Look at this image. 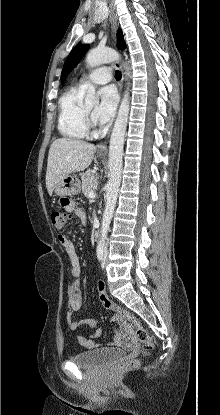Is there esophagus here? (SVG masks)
Masks as SVG:
<instances>
[{
    "label": "esophagus",
    "mask_w": 220,
    "mask_h": 415,
    "mask_svg": "<svg viewBox=\"0 0 220 415\" xmlns=\"http://www.w3.org/2000/svg\"><path fill=\"white\" fill-rule=\"evenodd\" d=\"M117 28H118L117 18L115 16L114 11L111 9V29H112V37L113 38H115V36H116ZM116 65L121 69V72H122V77H121V80L119 82V93L121 95L122 94V89H123V83H124V72H123V68H122V65H121L120 61H118L116 63ZM109 134H110V131L107 133L105 140L98 144V146H97L98 150L97 151H98L99 154H107V140L109 138Z\"/></svg>",
    "instance_id": "obj_1"
}]
</instances>
